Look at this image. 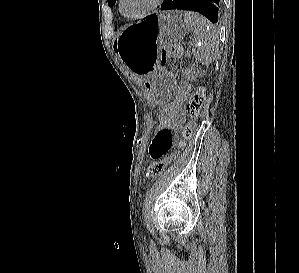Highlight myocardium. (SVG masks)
Returning <instances> with one entry per match:
<instances>
[{"label": "myocardium", "mask_w": 299, "mask_h": 273, "mask_svg": "<svg viewBox=\"0 0 299 273\" xmlns=\"http://www.w3.org/2000/svg\"><path fill=\"white\" fill-rule=\"evenodd\" d=\"M163 0H152L151 4L141 13L137 14V15H126L123 11V2L124 0H119V11L120 13L126 17L127 19H131V20H136V19H140L143 17H146L147 15H149L150 13H152L155 9H157L160 4L162 3Z\"/></svg>", "instance_id": "f54148a6"}]
</instances>
